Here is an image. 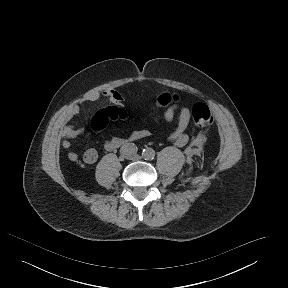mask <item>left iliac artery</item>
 I'll return each mask as SVG.
<instances>
[{
    "label": "left iliac artery",
    "mask_w": 288,
    "mask_h": 288,
    "mask_svg": "<svg viewBox=\"0 0 288 288\" xmlns=\"http://www.w3.org/2000/svg\"><path fill=\"white\" fill-rule=\"evenodd\" d=\"M142 156L145 160H152L155 156V152L151 148H145L142 150Z\"/></svg>",
    "instance_id": "left-iliac-artery-1"
}]
</instances>
